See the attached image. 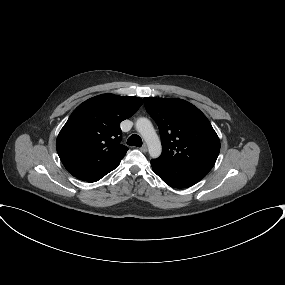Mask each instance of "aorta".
Listing matches in <instances>:
<instances>
[{"mask_svg": "<svg viewBox=\"0 0 285 285\" xmlns=\"http://www.w3.org/2000/svg\"><path fill=\"white\" fill-rule=\"evenodd\" d=\"M136 129L145 140L150 156L152 158H158L161 155L162 146L151 121L144 117L138 118L136 121Z\"/></svg>", "mask_w": 285, "mask_h": 285, "instance_id": "762f6f07", "label": "aorta"}]
</instances>
